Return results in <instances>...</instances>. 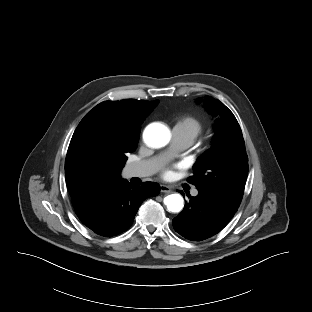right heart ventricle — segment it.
<instances>
[{"label":"right heart ventricle","mask_w":312,"mask_h":312,"mask_svg":"<svg viewBox=\"0 0 312 312\" xmlns=\"http://www.w3.org/2000/svg\"><path fill=\"white\" fill-rule=\"evenodd\" d=\"M203 129L202 122L191 115L180 117L173 128V130L188 138L191 143L203 132Z\"/></svg>","instance_id":"1"}]
</instances>
